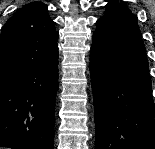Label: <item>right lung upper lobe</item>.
<instances>
[{
	"instance_id": "cb5924a9",
	"label": "right lung upper lobe",
	"mask_w": 155,
	"mask_h": 149,
	"mask_svg": "<svg viewBox=\"0 0 155 149\" xmlns=\"http://www.w3.org/2000/svg\"><path fill=\"white\" fill-rule=\"evenodd\" d=\"M42 2L20 8L0 34V78L39 66L58 56V32Z\"/></svg>"
}]
</instances>
